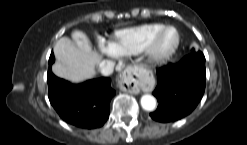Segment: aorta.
Masks as SVG:
<instances>
[{
  "label": "aorta",
  "instance_id": "762f6f07",
  "mask_svg": "<svg viewBox=\"0 0 247 145\" xmlns=\"http://www.w3.org/2000/svg\"><path fill=\"white\" fill-rule=\"evenodd\" d=\"M141 106L146 111H153L156 108V99L152 95L145 94L141 97Z\"/></svg>",
  "mask_w": 247,
  "mask_h": 145
}]
</instances>
